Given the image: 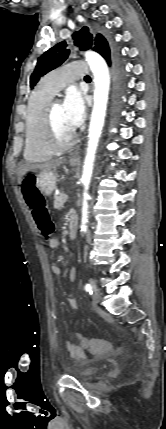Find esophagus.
<instances>
[{
    "instance_id": "34e87169",
    "label": "esophagus",
    "mask_w": 166,
    "mask_h": 429,
    "mask_svg": "<svg viewBox=\"0 0 166 429\" xmlns=\"http://www.w3.org/2000/svg\"><path fill=\"white\" fill-rule=\"evenodd\" d=\"M77 157H78V153L77 152L73 153L72 156H71L72 159H75Z\"/></svg>"
}]
</instances>
